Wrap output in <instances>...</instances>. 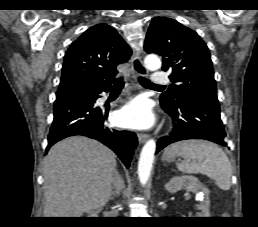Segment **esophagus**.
Instances as JSON below:
<instances>
[{"mask_svg": "<svg viewBox=\"0 0 258 227\" xmlns=\"http://www.w3.org/2000/svg\"><path fill=\"white\" fill-rule=\"evenodd\" d=\"M133 69L137 76H146L148 74L146 68L144 67L141 57L138 52H135L131 59ZM138 140L140 143H144L148 139V134L139 133Z\"/></svg>", "mask_w": 258, "mask_h": 227, "instance_id": "esophagus-1", "label": "esophagus"}]
</instances>
